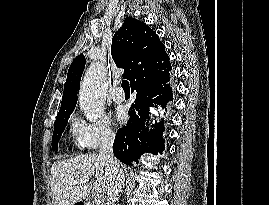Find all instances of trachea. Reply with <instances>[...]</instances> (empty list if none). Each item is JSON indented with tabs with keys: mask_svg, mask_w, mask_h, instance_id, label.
<instances>
[{
	"mask_svg": "<svg viewBox=\"0 0 269 205\" xmlns=\"http://www.w3.org/2000/svg\"><path fill=\"white\" fill-rule=\"evenodd\" d=\"M121 86H122L124 92L130 93V86H129V82L127 80H123Z\"/></svg>",
	"mask_w": 269,
	"mask_h": 205,
	"instance_id": "trachea-1",
	"label": "trachea"
}]
</instances>
